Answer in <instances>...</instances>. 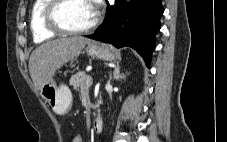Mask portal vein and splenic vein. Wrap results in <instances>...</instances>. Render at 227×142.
I'll return each mask as SVG.
<instances>
[{
  "instance_id": "1",
  "label": "portal vein and splenic vein",
  "mask_w": 227,
  "mask_h": 142,
  "mask_svg": "<svg viewBox=\"0 0 227 142\" xmlns=\"http://www.w3.org/2000/svg\"><path fill=\"white\" fill-rule=\"evenodd\" d=\"M92 84H93V78L91 76H88L86 81L87 87L91 86Z\"/></svg>"
}]
</instances>
